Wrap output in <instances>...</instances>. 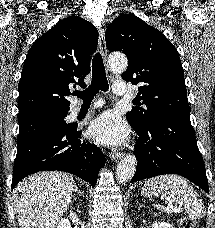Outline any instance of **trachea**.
Masks as SVG:
<instances>
[{"label": "trachea", "instance_id": "obj_1", "mask_svg": "<svg viewBox=\"0 0 215 228\" xmlns=\"http://www.w3.org/2000/svg\"><path fill=\"white\" fill-rule=\"evenodd\" d=\"M109 85L106 77L103 59L100 53H96L92 62V81L86 90L76 92L74 95L82 98L84 104H90L95 95L101 91H108Z\"/></svg>", "mask_w": 215, "mask_h": 228}]
</instances>
